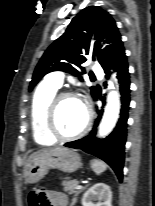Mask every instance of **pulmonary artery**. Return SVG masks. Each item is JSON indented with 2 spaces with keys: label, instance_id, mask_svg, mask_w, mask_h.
<instances>
[{
  "label": "pulmonary artery",
  "instance_id": "e3ab8cb5",
  "mask_svg": "<svg viewBox=\"0 0 155 206\" xmlns=\"http://www.w3.org/2000/svg\"><path fill=\"white\" fill-rule=\"evenodd\" d=\"M95 71L98 73V74H101L102 71L101 69L98 67V65H95ZM63 73L61 72H54V73H51L49 75H47L46 77V82L56 88H59L61 87L62 83H63Z\"/></svg>",
  "mask_w": 155,
  "mask_h": 206
}]
</instances>
